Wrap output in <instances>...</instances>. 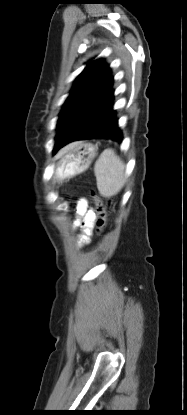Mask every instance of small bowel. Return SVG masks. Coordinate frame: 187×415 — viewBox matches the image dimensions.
I'll return each mask as SVG.
<instances>
[{
    "label": "small bowel",
    "instance_id": "obj_1",
    "mask_svg": "<svg viewBox=\"0 0 187 415\" xmlns=\"http://www.w3.org/2000/svg\"><path fill=\"white\" fill-rule=\"evenodd\" d=\"M77 214L79 218L75 222V226H79L83 229V234L78 239L80 246L89 242V232L95 220V213L88 208V202L82 200L77 205Z\"/></svg>",
    "mask_w": 187,
    "mask_h": 415
}]
</instances>
